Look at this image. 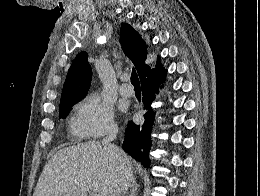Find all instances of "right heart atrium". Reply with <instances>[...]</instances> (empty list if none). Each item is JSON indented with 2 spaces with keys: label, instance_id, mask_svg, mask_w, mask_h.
<instances>
[{
  "label": "right heart atrium",
  "instance_id": "right-heart-atrium-1",
  "mask_svg": "<svg viewBox=\"0 0 260 196\" xmlns=\"http://www.w3.org/2000/svg\"><path fill=\"white\" fill-rule=\"evenodd\" d=\"M116 127L112 107L95 92L86 95L76 105L70 121V130L79 139V143H107L98 138Z\"/></svg>",
  "mask_w": 260,
  "mask_h": 196
}]
</instances>
